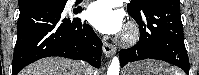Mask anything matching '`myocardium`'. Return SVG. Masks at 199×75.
Masks as SVG:
<instances>
[{
  "instance_id": "f54148a6",
  "label": "myocardium",
  "mask_w": 199,
  "mask_h": 75,
  "mask_svg": "<svg viewBox=\"0 0 199 75\" xmlns=\"http://www.w3.org/2000/svg\"><path fill=\"white\" fill-rule=\"evenodd\" d=\"M138 39V32L133 25L126 28L125 32L121 36L120 42L123 45H131L135 43Z\"/></svg>"
}]
</instances>
